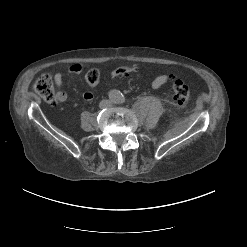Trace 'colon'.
I'll return each mask as SVG.
<instances>
[{"label":"colon","mask_w":247,"mask_h":247,"mask_svg":"<svg viewBox=\"0 0 247 247\" xmlns=\"http://www.w3.org/2000/svg\"><path fill=\"white\" fill-rule=\"evenodd\" d=\"M86 83L94 87L99 83L100 73L97 69H90L85 76ZM33 88L41 98L49 103L55 104L58 101L57 94L55 93L52 79L48 74L41 75L34 83ZM172 98L176 105L184 109L190 99V91L188 86L179 79H173L171 83Z\"/></svg>","instance_id":"obj_1"}]
</instances>
